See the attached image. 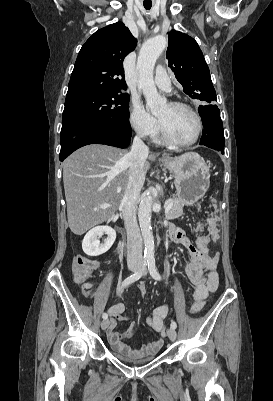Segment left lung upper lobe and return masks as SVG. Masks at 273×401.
Returning <instances> with one entry per match:
<instances>
[{"label": "left lung upper lobe", "mask_w": 273, "mask_h": 401, "mask_svg": "<svg viewBox=\"0 0 273 401\" xmlns=\"http://www.w3.org/2000/svg\"><path fill=\"white\" fill-rule=\"evenodd\" d=\"M168 40V65L183 86V91L193 99L209 103L216 101L209 68L197 42L175 30L168 33Z\"/></svg>", "instance_id": "obj_1"}]
</instances>
